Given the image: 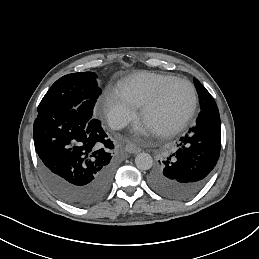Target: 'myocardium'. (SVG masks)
<instances>
[{"instance_id":"f54148a6","label":"myocardium","mask_w":259,"mask_h":259,"mask_svg":"<svg viewBox=\"0 0 259 259\" xmlns=\"http://www.w3.org/2000/svg\"><path fill=\"white\" fill-rule=\"evenodd\" d=\"M177 81L185 82L189 86V88L191 90V94H192L191 103L188 106V108L186 109V111L182 115H180L167 129H165L163 131H160V132H157L156 134L158 136H162V137L171 136V135H174L177 132H179L187 124V122L193 116V114H194V112L197 108L198 96H197V90H196L195 85L190 80H188L187 78L174 76V77L169 78L165 82H163L158 87L155 94L152 97H150L142 105L140 117L145 115L148 111H150L154 107H156L161 102L166 90L173 83H175Z\"/></svg>"}]
</instances>
